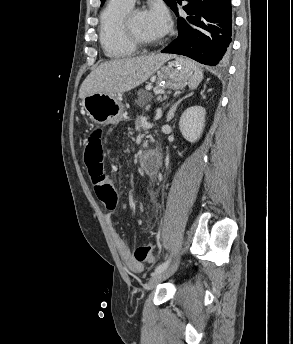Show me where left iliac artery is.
Segmentation results:
<instances>
[{
    "instance_id": "44dca946",
    "label": "left iliac artery",
    "mask_w": 293,
    "mask_h": 344,
    "mask_svg": "<svg viewBox=\"0 0 293 344\" xmlns=\"http://www.w3.org/2000/svg\"><path fill=\"white\" fill-rule=\"evenodd\" d=\"M170 261H171V259H168V260H166L165 262H163V263H161L160 265H158V266L156 267L154 273H158V272H161V271L165 270V269L169 266Z\"/></svg>"
}]
</instances>
